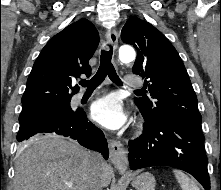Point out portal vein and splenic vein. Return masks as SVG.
Wrapping results in <instances>:
<instances>
[{
	"label": "portal vein and splenic vein",
	"instance_id": "portal-vein-and-splenic-vein-1",
	"mask_svg": "<svg viewBox=\"0 0 221 190\" xmlns=\"http://www.w3.org/2000/svg\"><path fill=\"white\" fill-rule=\"evenodd\" d=\"M66 186L72 187V184L71 183H66Z\"/></svg>",
	"mask_w": 221,
	"mask_h": 190
}]
</instances>
